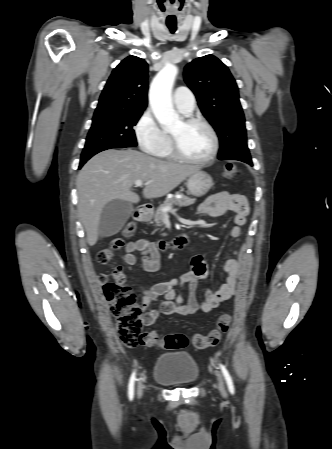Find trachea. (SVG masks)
Instances as JSON below:
<instances>
[{"mask_svg":"<svg viewBox=\"0 0 332 449\" xmlns=\"http://www.w3.org/2000/svg\"><path fill=\"white\" fill-rule=\"evenodd\" d=\"M169 30L171 33H174L176 31V27L175 26H168Z\"/></svg>","mask_w":332,"mask_h":449,"instance_id":"trachea-1","label":"trachea"}]
</instances>
